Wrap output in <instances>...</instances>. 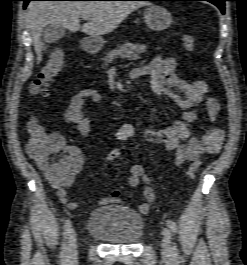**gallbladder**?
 <instances>
[{
	"instance_id": "1",
	"label": "gallbladder",
	"mask_w": 247,
	"mask_h": 265,
	"mask_svg": "<svg viewBox=\"0 0 247 265\" xmlns=\"http://www.w3.org/2000/svg\"><path fill=\"white\" fill-rule=\"evenodd\" d=\"M66 29L63 26L49 24L47 25L42 32L43 40L46 43H55L64 37Z\"/></svg>"
}]
</instances>
